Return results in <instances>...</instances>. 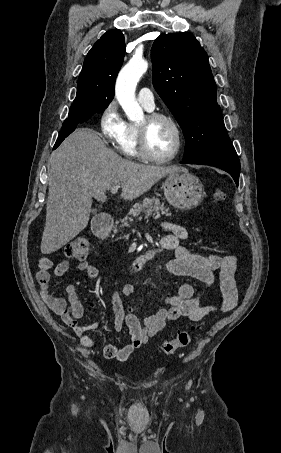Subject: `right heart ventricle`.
Here are the masks:
<instances>
[{
    "instance_id": "1",
    "label": "right heart ventricle",
    "mask_w": 281,
    "mask_h": 453,
    "mask_svg": "<svg viewBox=\"0 0 281 453\" xmlns=\"http://www.w3.org/2000/svg\"><path fill=\"white\" fill-rule=\"evenodd\" d=\"M140 104L143 108L148 110L142 103ZM117 150L125 157L138 158L140 156L138 124L132 121L125 122L122 135L117 141Z\"/></svg>"
}]
</instances>
